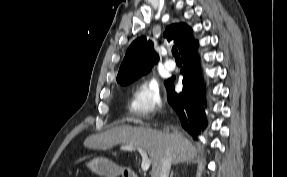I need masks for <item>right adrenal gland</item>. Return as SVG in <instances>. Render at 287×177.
Returning <instances> with one entry per match:
<instances>
[{
  "instance_id": "obj_1",
  "label": "right adrenal gland",
  "mask_w": 287,
  "mask_h": 177,
  "mask_svg": "<svg viewBox=\"0 0 287 177\" xmlns=\"http://www.w3.org/2000/svg\"><path fill=\"white\" fill-rule=\"evenodd\" d=\"M173 175H174V172H173V171H171V173H170V177H173Z\"/></svg>"
}]
</instances>
